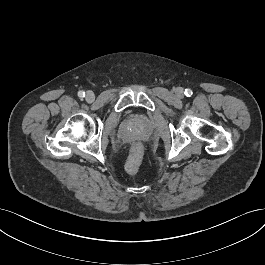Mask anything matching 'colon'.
Returning a JSON list of instances; mask_svg holds the SVG:
<instances>
[{
	"mask_svg": "<svg viewBox=\"0 0 265 265\" xmlns=\"http://www.w3.org/2000/svg\"><path fill=\"white\" fill-rule=\"evenodd\" d=\"M143 160V148L139 142L133 144L129 157L125 164V169L132 175L139 174Z\"/></svg>",
	"mask_w": 265,
	"mask_h": 265,
	"instance_id": "5ec220e1",
	"label": "colon"
}]
</instances>
